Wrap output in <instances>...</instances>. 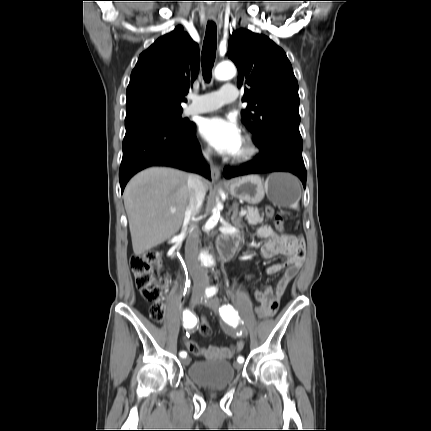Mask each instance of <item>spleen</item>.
I'll return each mask as SVG.
<instances>
[{"label": "spleen", "instance_id": "spleen-1", "mask_svg": "<svg viewBox=\"0 0 431 431\" xmlns=\"http://www.w3.org/2000/svg\"><path fill=\"white\" fill-rule=\"evenodd\" d=\"M291 207L297 209L298 208V202L294 203Z\"/></svg>", "mask_w": 431, "mask_h": 431}]
</instances>
